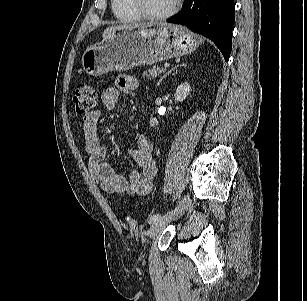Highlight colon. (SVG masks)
<instances>
[{"instance_id":"colon-1","label":"colon","mask_w":307,"mask_h":301,"mask_svg":"<svg viewBox=\"0 0 307 301\" xmlns=\"http://www.w3.org/2000/svg\"><path fill=\"white\" fill-rule=\"evenodd\" d=\"M97 101V92L95 88L87 83H79L74 91L73 94V105L75 109V113L78 116H87L89 115ZM126 219L133 231L136 233L137 231V224L136 222L129 216H126Z\"/></svg>"}]
</instances>
